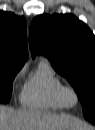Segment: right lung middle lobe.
<instances>
[{"instance_id": "1", "label": "right lung middle lobe", "mask_w": 95, "mask_h": 130, "mask_svg": "<svg viewBox=\"0 0 95 130\" xmlns=\"http://www.w3.org/2000/svg\"><path fill=\"white\" fill-rule=\"evenodd\" d=\"M20 67H0V103H7L12 94V82Z\"/></svg>"}]
</instances>
